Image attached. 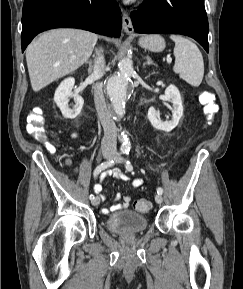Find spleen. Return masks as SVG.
Wrapping results in <instances>:
<instances>
[{"label":"spleen","instance_id":"obj_1","mask_svg":"<svg viewBox=\"0 0 243 289\" xmlns=\"http://www.w3.org/2000/svg\"><path fill=\"white\" fill-rule=\"evenodd\" d=\"M170 38L175 42L174 72L190 85L199 86L204 76V62L200 50L192 41L181 35H171Z\"/></svg>","mask_w":243,"mask_h":289}]
</instances>
